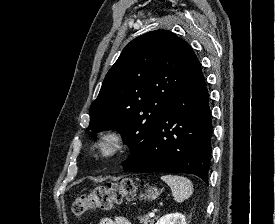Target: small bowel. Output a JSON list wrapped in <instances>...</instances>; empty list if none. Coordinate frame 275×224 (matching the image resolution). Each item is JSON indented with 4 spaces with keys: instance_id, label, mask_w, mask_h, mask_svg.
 Here are the masks:
<instances>
[{
    "instance_id": "c3829d8e",
    "label": "small bowel",
    "mask_w": 275,
    "mask_h": 224,
    "mask_svg": "<svg viewBox=\"0 0 275 224\" xmlns=\"http://www.w3.org/2000/svg\"><path fill=\"white\" fill-rule=\"evenodd\" d=\"M94 224H131L126 218L116 216H102L98 219V221Z\"/></svg>"
}]
</instances>
